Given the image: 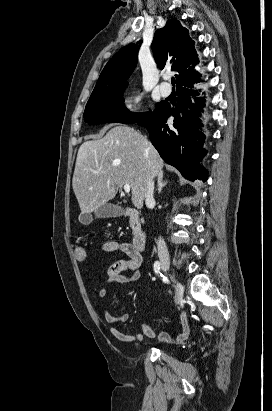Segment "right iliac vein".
<instances>
[{
	"mask_svg": "<svg viewBox=\"0 0 272 411\" xmlns=\"http://www.w3.org/2000/svg\"><path fill=\"white\" fill-rule=\"evenodd\" d=\"M162 268H163V270L169 272L172 281L175 283V286H176V301H177L178 304H180L182 302V298H183V287L180 284V282L176 279L174 274L172 273V271L170 269V264H169L168 261H163L162 262Z\"/></svg>",
	"mask_w": 272,
	"mask_h": 411,
	"instance_id": "right-iliac-vein-1",
	"label": "right iliac vein"
}]
</instances>
